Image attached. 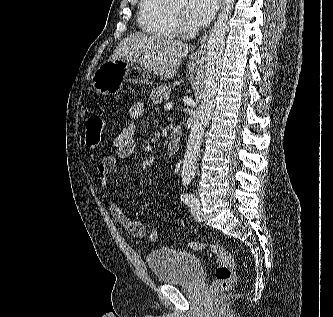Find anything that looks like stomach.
I'll use <instances>...</instances> for the list:
<instances>
[{
	"instance_id": "1",
	"label": "stomach",
	"mask_w": 333,
	"mask_h": 317,
	"mask_svg": "<svg viewBox=\"0 0 333 317\" xmlns=\"http://www.w3.org/2000/svg\"><path fill=\"white\" fill-rule=\"evenodd\" d=\"M132 63L122 60H107L93 75L92 85L102 95H113L123 87V79L129 74Z\"/></svg>"
}]
</instances>
